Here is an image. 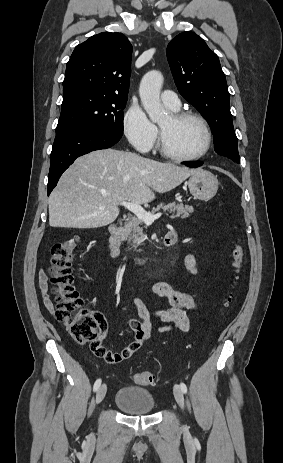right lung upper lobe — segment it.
Returning <instances> with one entry per match:
<instances>
[{
    "mask_svg": "<svg viewBox=\"0 0 283 463\" xmlns=\"http://www.w3.org/2000/svg\"><path fill=\"white\" fill-rule=\"evenodd\" d=\"M131 53L121 33H100L77 45L66 66L63 102L81 93L127 97Z\"/></svg>",
    "mask_w": 283,
    "mask_h": 463,
    "instance_id": "right-lung-upper-lobe-1",
    "label": "right lung upper lobe"
}]
</instances>
